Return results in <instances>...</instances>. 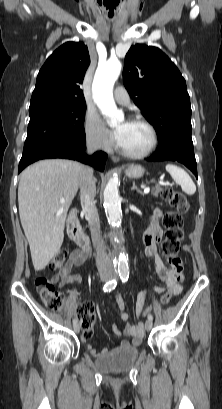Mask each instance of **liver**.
Listing matches in <instances>:
<instances>
[{"instance_id": "obj_1", "label": "liver", "mask_w": 222, "mask_h": 409, "mask_svg": "<svg viewBox=\"0 0 222 409\" xmlns=\"http://www.w3.org/2000/svg\"><path fill=\"white\" fill-rule=\"evenodd\" d=\"M83 167L76 161L46 159L20 175L19 215L36 271L45 269L61 248L67 212Z\"/></svg>"}]
</instances>
